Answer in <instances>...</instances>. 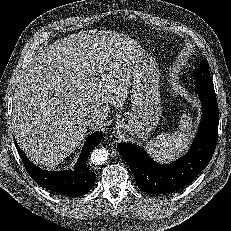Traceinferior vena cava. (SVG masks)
Wrapping results in <instances>:
<instances>
[{
    "instance_id": "602c4592",
    "label": "inferior vena cava",
    "mask_w": 231,
    "mask_h": 231,
    "mask_svg": "<svg viewBox=\"0 0 231 231\" xmlns=\"http://www.w3.org/2000/svg\"><path fill=\"white\" fill-rule=\"evenodd\" d=\"M85 124L88 127H95V126H99L102 124V121L98 118H95L94 116H89L86 121Z\"/></svg>"
}]
</instances>
